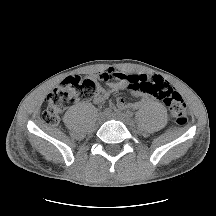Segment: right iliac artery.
Wrapping results in <instances>:
<instances>
[{
    "label": "right iliac artery",
    "instance_id": "1",
    "mask_svg": "<svg viewBox=\"0 0 216 216\" xmlns=\"http://www.w3.org/2000/svg\"><path fill=\"white\" fill-rule=\"evenodd\" d=\"M112 112V110L110 108H106L104 110V113H106L107 115L110 114Z\"/></svg>",
    "mask_w": 216,
    "mask_h": 216
}]
</instances>
